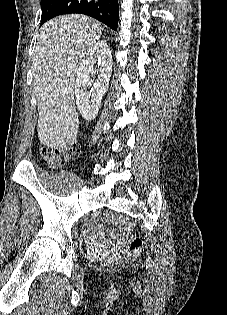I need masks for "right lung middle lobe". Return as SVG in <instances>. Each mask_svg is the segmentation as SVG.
I'll return each instance as SVG.
<instances>
[{
    "mask_svg": "<svg viewBox=\"0 0 227 315\" xmlns=\"http://www.w3.org/2000/svg\"><path fill=\"white\" fill-rule=\"evenodd\" d=\"M59 0H41V9H42V23L47 21V12L49 8L55 5Z\"/></svg>",
    "mask_w": 227,
    "mask_h": 315,
    "instance_id": "dd1d6c3e",
    "label": "right lung middle lobe"
}]
</instances>
